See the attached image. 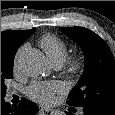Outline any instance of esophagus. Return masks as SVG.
I'll return each instance as SVG.
<instances>
[{
    "label": "esophagus",
    "mask_w": 115,
    "mask_h": 115,
    "mask_svg": "<svg viewBox=\"0 0 115 115\" xmlns=\"http://www.w3.org/2000/svg\"><path fill=\"white\" fill-rule=\"evenodd\" d=\"M40 110H41V111H45V112H51V111H52L51 108H49V107H44V106H40Z\"/></svg>",
    "instance_id": "34e87169"
}]
</instances>
